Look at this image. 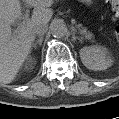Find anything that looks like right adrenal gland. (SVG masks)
I'll list each match as a JSON object with an SVG mask.
<instances>
[{"label":"right adrenal gland","mask_w":119,"mask_h":119,"mask_svg":"<svg viewBox=\"0 0 119 119\" xmlns=\"http://www.w3.org/2000/svg\"><path fill=\"white\" fill-rule=\"evenodd\" d=\"M42 41H43V35H40V36H39V39L36 40V41L33 43L32 47H33V48H36V47H37V44H39V45L41 46V45H42Z\"/></svg>","instance_id":"2a0ac1e0"}]
</instances>
